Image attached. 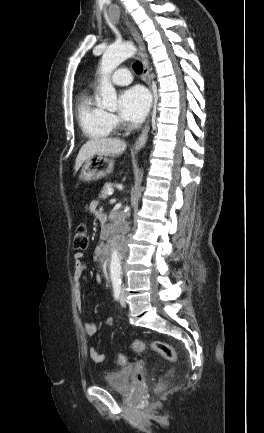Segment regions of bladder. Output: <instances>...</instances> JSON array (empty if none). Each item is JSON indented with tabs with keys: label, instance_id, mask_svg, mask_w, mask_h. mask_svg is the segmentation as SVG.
<instances>
[{
	"label": "bladder",
	"instance_id": "31cf9c89",
	"mask_svg": "<svg viewBox=\"0 0 264 433\" xmlns=\"http://www.w3.org/2000/svg\"><path fill=\"white\" fill-rule=\"evenodd\" d=\"M129 378V370L109 372L104 377V386L118 393H127L130 389Z\"/></svg>",
	"mask_w": 264,
	"mask_h": 433
}]
</instances>
